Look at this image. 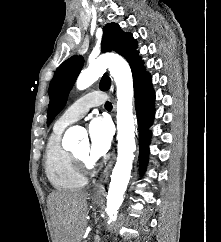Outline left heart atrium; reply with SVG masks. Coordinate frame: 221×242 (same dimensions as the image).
<instances>
[{
    "label": "left heart atrium",
    "mask_w": 221,
    "mask_h": 242,
    "mask_svg": "<svg viewBox=\"0 0 221 242\" xmlns=\"http://www.w3.org/2000/svg\"><path fill=\"white\" fill-rule=\"evenodd\" d=\"M90 146L88 157L97 160L110 148L112 141V129L103 118H94L88 125Z\"/></svg>",
    "instance_id": "obj_1"
}]
</instances>
